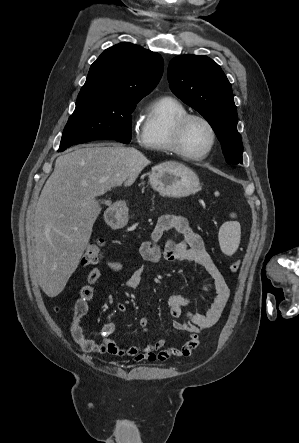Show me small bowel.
Returning <instances> with one entry per match:
<instances>
[{
    "instance_id": "small-bowel-1",
    "label": "small bowel",
    "mask_w": 299,
    "mask_h": 443,
    "mask_svg": "<svg viewBox=\"0 0 299 443\" xmlns=\"http://www.w3.org/2000/svg\"><path fill=\"white\" fill-rule=\"evenodd\" d=\"M168 231H175L183 237V240L177 243L169 237L164 246H161V241ZM140 254L148 264H156L161 259H166L169 261H191L201 265L210 277V282L203 288L204 291L213 290L215 292L209 309L205 313L186 311L193 299L185 294H174L168 299V308L173 317V328L176 331L188 333V338L181 347L167 348L161 339H154L145 346L118 345L110 338L115 330V324L111 321L102 325L100 330L102 340L97 342L85 336L80 324L81 318L88 311V302L94 295V285L101 277V269L94 267L88 273L86 283L79 290V296L74 305V316L70 324L72 339L83 352L130 357L136 362L143 360L164 361L173 357H186L191 355L197 347L199 335L219 320L229 299V288L221 271L207 251L202 237L189 227L185 218L173 215L161 216L151 232L150 239L141 243ZM106 267L113 273L124 270V265L116 261H106ZM143 271L144 267L142 266L130 276L127 282L130 287L138 286ZM117 311L125 313L127 306L124 303H118ZM181 318H185V321H181ZM140 327L143 334L148 333L147 318L140 319Z\"/></svg>"
}]
</instances>
